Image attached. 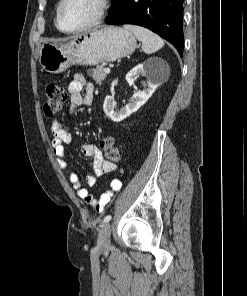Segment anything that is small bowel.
<instances>
[{
    "mask_svg": "<svg viewBox=\"0 0 247 296\" xmlns=\"http://www.w3.org/2000/svg\"><path fill=\"white\" fill-rule=\"evenodd\" d=\"M68 92L70 94L71 109H75L83 105L88 106L92 103L95 95V88L83 75H75L68 84ZM50 130L53 134L51 141L52 151L58 166L61 169L66 170L68 180L76 191L78 197L86 204L93 207L96 212L102 213L106 206L111 202L114 194L121 188V181L118 179L112 180L110 190L103 192L99 198L94 197L82 186L79 176L74 171L68 169L65 145L71 141V133L57 119H54L51 122ZM81 152L84 156L93 159V173L89 174L86 178V182L90 187L96 185L97 179L100 176L116 170V166L103 157L96 145L91 143L83 144Z\"/></svg>",
    "mask_w": 247,
    "mask_h": 296,
    "instance_id": "small-bowel-1",
    "label": "small bowel"
}]
</instances>
